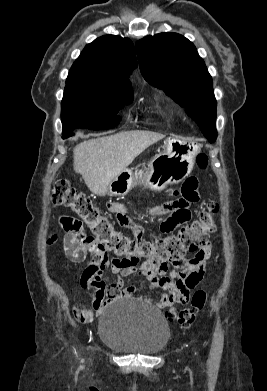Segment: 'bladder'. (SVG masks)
Masks as SVG:
<instances>
[{
    "label": "bladder",
    "instance_id": "1",
    "mask_svg": "<svg viewBox=\"0 0 267 391\" xmlns=\"http://www.w3.org/2000/svg\"><path fill=\"white\" fill-rule=\"evenodd\" d=\"M98 335L106 346L119 352L152 355L167 346L170 328L155 307L136 299H119L103 312Z\"/></svg>",
    "mask_w": 267,
    "mask_h": 391
}]
</instances>
